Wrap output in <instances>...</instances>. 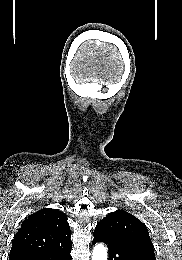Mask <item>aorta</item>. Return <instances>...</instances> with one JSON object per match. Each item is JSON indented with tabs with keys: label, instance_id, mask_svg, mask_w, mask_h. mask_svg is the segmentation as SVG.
Segmentation results:
<instances>
[{
	"label": "aorta",
	"instance_id": "obj_1",
	"mask_svg": "<svg viewBox=\"0 0 182 260\" xmlns=\"http://www.w3.org/2000/svg\"><path fill=\"white\" fill-rule=\"evenodd\" d=\"M108 253L104 244H97L92 252V260H107Z\"/></svg>",
	"mask_w": 182,
	"mask_h": 260
}]
</instances>
